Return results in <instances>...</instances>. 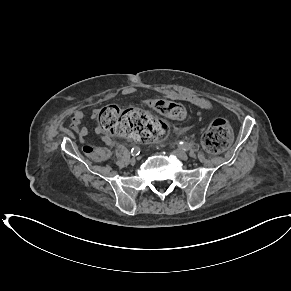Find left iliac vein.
I'll list each match as a JSON object with an SVG mask.
<instances>
[{"label": "left iliac vein", "mask_w": 291, "mask_h": 291, "mask_svg": "<svg viewBox=\"0 0 291 291\" xmlns=\"http://www.w3.org/2000/svg\"><path fill=\"white\" fill-rule=\"evenodd\" d=\"M173 153L184 161L188 160V155L183 150L177 149V150L173 151Z\"/></svg>", "instance_id": "4c4485c4"}]
</instances>
